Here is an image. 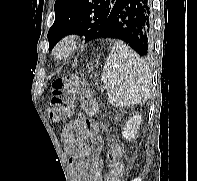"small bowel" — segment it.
Wrapping results in <instances>:
<instances>
[{"label": "small bowel", "mask_w": 197, "mask_h": 181, "mask_svg": "<svg viewBox=\"0 0 197 181\" xmlns=\"http://www.w3.org/2000/svg\"><path fill=\"white\" fill-rule=\"evenodd\" d=\"M70 163L75 169L76 181H102L103 139L98 125L88 119L79 118L67 123L61 133ZM93 156L89 160V156Z\"/></svg>", "instance_id": "obj_1"}]
</instances>
